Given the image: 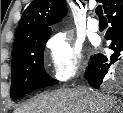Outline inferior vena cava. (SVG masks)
<instances>
[{
    "label": "inferior vena cava",
    "mask_w": 123,
    "mask_h": 113,
    "mask_svg": "<svg viewBox=\"0 0 123 113\" xmlns=\"http://www.w3.org/2000/svg\"><path fill=\"white\" fill-rule=\"evenodd\" d=\"M79 90H80L81 93H83V94L86 95L87 97L90 96L91 90L89 89L88 86H86V85H81V86L79 87ZM94 112L97 113L96 111H94Z\"/></svg>",
    "instance_id": "inferior-vena-cava-1"
}]
</instances>
